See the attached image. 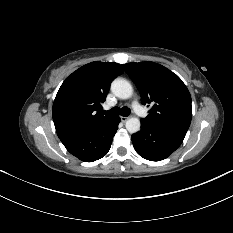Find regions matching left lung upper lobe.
I'll return each instance as SVG.
<instances>
[{
	"mask_svg": "<svg viewBox=\"0 0 233 233\" xmlns=\"http://www.w3.org/2000/svg\"><path fill=\"white\" fill-rule=\"evenodd\" d=\"M122 66L136 84L142 103L152 105L142 121L186 135L192 106L190 93L183 81L166 67L150 61Z\"/></svg>",
	"mask_w": 233,
	"mask_h": 233,
	"instance_id": "5c2ea615",
	"label": "left lung upper lobe"
}]
</instances>
